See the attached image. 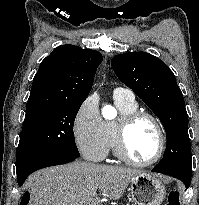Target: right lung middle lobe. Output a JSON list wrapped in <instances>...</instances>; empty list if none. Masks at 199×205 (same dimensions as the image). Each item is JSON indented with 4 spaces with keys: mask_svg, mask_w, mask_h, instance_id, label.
Instances as JSON below:
<instances>
[{
    "mask_svg": "<svg viewBox=\"0 0 199 205\" xmlns=\"http://www.w3.org/2000/svg\"><path fill=\"white\" fill-rule=\"evenodd\" d=\"M83 102L56 103L26 111L17 148V173L44 158L80 156L73 126Z\"/></svg>",
    "mask_w": 199,
    "mask_h": 205,
    "instance_id": "dd1d6c3e",
    "label": "right lung middle lobe"
}]
</instances>
